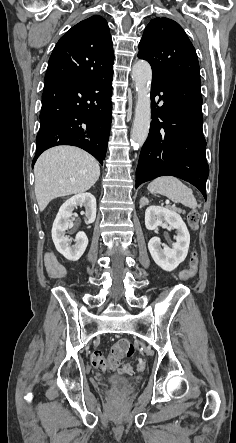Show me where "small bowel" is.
<instances>
[{"label": "small bowel", "instance_id": "c3829d8e", "mask_svg": "<svg viewBox=\"0 0 236 443\" xmlns=\"http://www.w3.org/2000/svg\"><path fill=\"white\" fill-rule=\"evenodd\" d=\"M45 268L51 278H62L67 274L66 266L53 253L48 252L45 255Z\"/></svg>", "mask_w": 236, "mask_h": 443}]
</instances>
